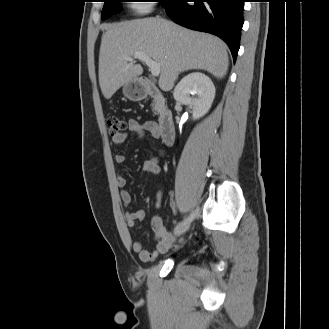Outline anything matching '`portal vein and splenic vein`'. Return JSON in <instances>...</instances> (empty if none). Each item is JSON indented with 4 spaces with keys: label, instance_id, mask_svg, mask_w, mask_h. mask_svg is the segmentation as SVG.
Segmentation results:
<instances>
[{
    "label": "portal vein and splenic vein",
    "instance_id": "18ae733b",
    "mask_svg": "<svg viewBox=\"0 0 329 329\" xmlns=\"http://www.w3.org/2000/svg\"><path fill=\"white\" fill-rule=\"evenodd\" d=\"M130 62H135V59H138L144 62L152 74V76L157 77L160 74V64L153 61L148 55L142 52H137L133 55V58H126Z\"/></svg>",
    "mask_w": 329,
    "mask_h": 329
}]
</instances>
